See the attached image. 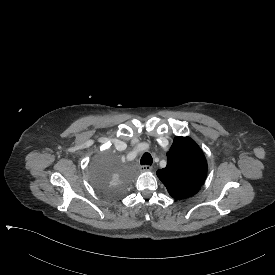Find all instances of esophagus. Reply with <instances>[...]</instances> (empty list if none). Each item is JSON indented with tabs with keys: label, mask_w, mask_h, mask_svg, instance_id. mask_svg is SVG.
I'll return each mask as SVG.
<instances>
[{
	"label": "esophagus",
	"mask_w": 275,
	"mask_h": 275,
	"mask_svg": "<svg viewBox=\"0 0 275 275\" xmlns=\"http://www.w3.org/2000/svg\"><path fill=\"white\" fill-rule=\"evenodd\" d=\"M139 170H140L141 172H149V171L152 170V166H150V165H141V166L139 167Z\"/></svg>",
	"instance_id": "obj_1"
}]
</instances>
